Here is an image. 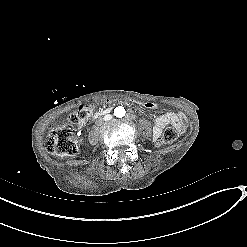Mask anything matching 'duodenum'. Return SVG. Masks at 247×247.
<instances>
[{
	"mask_svg": "<svg viewBox=\"0 0 247 247\" xmlns=\"http://www.w3.org/2000/svg\"><path fill=\"white\" fill-rule=\"evenodd\" d=\"M110 109H104V110H100V111H97L94 115H93V119H96V118H98V117H100V116H103V115H105V114H108V113H110Z\"/></svg>",
	"mask_w": 247,
	"mask_h": 247,
	"instance_id": "duodenum-1",
	"label": "duodenum"
}]
</instances>
